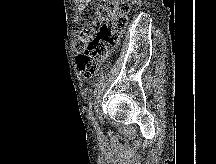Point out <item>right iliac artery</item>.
Returning <instances> with one entry per match:
<instances>
[{
  "mask_svg": "<svg viewBox=\"0 0 216 164\" xmlns=\"http://www.w3.org/2000/svg\"><path fill=\"white\" fill-rule=\"evenodd\" d=\"M90 110H92V105H91V104H90ZM90 115H91V119H92V121H93L94 127H95L96 130L98 131L99 128H98L97 122L95 121V119H94V117H93L92 111L90 112Z\"/></svg>",
  "mask_w": 216,
  "mask_h": 164,
  "instance_id": "obj_1",
  "label": "right iliac artery"
}]
</instances>
